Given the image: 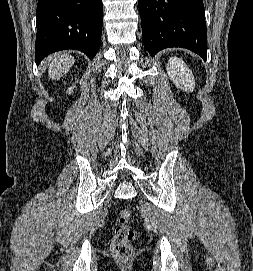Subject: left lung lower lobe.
<instances>
[{
  "mask_svg": "<svg viewBox=\"0 0 253 271\" xmlns=\"http://www.w3.org/2000/svg\"><path fill=\"white\" fill-rule=\"evenodd\" d=\"M138 6L143 44L150 55L168 47H183L206 60L203 0H138Z\"/></svg>",
  "mask_w": 253,
  "mask_h": 271,
  "instance_id": "1",
  "label": "left lung lower lobe"
}]
</instances>
